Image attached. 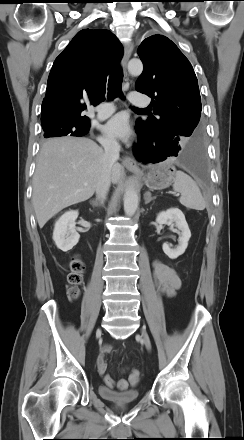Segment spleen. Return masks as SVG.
I'll return each instance as SVG.
<instances>
[{"mask_svg":"<svg viewBox=\"0 0 244 440\" xmlns=\"http://www.w3.org/2000/svg\"><path fill=\"white\" fill-rule=\"evenodd\" d=\"M174 191L181 194L179 202L188 209L204 210L206 201L195 181L182 171L174 175Z\"/></svg>","mask_w":244,"mask_h":440,"instance_id":"3e777b00","label":"spleen"}]
</instances>
